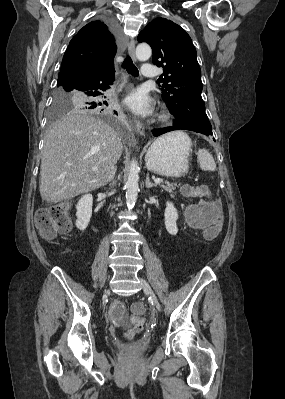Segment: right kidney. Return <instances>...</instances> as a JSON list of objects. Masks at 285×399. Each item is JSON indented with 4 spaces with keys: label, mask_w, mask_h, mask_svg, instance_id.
<instances>
[{
    "label": "right kidney",
    "mask_w": 285,
    "mask_h": 399,
    "mask_svg": "<svg viewBox=\"0 0 285 399\" xmlns=\"http://www.w3.org/2000/svg\"><path fill=\"white\" fill-rule=\"evenodd\" d=\"M93 197L91 194H86L78 201L76 205V227L84 231L88 226L92 216Z\"/></svg>",
    "instance_id": "ca27d5eb"
}]
</instances>
